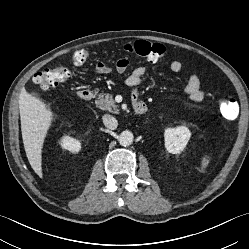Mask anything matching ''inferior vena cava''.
<instances>
[{
    "mask_svg": "<svg viewBox=\"0 0 249 249\" xmlns=\"http://www.w3.org/2000/svg\"><path fill=\"white\" fill-rule=\"evenodd\" d=\"M102 119H103L104 125H105L108 129L114 130V129L117 128L118 122H117V120H116L112 115L105 114V115L102 117Z\"/></svg>",
    "mask_w": 249,
    "mask_h": 249,
    "instance_id": "602c4592",
    "label": "inferior vena cava"
}]
</instances>
